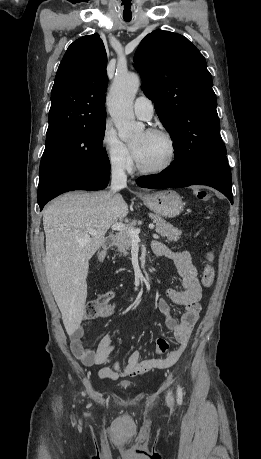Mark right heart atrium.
Instances as JSON below:
<instances>
[{
  "mask_svg": "<svg viewBox=\"0 0 261 459\" xmlns=\"http://www.w3.org/2000/svg\"><path fill=\"white\" fill-rule=\"evenodd\" d=\"M100 144L110 168L114 172L125 173L131 170L132 156L130 150L109 124H106L103 128Z\"/></svg>",
  "mask_w": 261,
  "mask_h": 459,
  "instance_id": "obj_1",
  "label": "right heart atrium"
}]
</instances>
